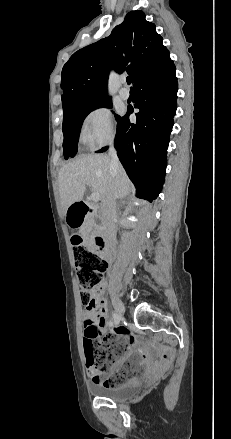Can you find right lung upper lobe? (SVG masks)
Segmentation results:
<instances>
[{"mask_svg":"<svg viewBox=\"0 0 231 439\" xmlns=\"http://www.w3.org/2000/svg\"><path fill=\"white\" fill-rule=\"evenodd\" d=\"M156 26L143 11L128 13L110 36L75 52L62 69L63 111L78 104L109 98V71H127L135 83L159 67L169 51Z\"/></svg>","mask_w":231,"mask_h":439,"instance_id":"1","label":"right lung upper lobe"}]
</instances>
